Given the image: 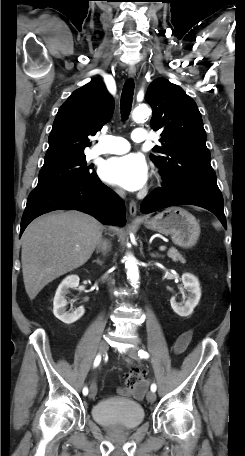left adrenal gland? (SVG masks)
Here are the masks:
<instances>
[{
	"mask_svg": "<svg viewBox=\"0 0 245 456\" xmlns=\"http://www.w3.org/2000/svg\"><path fill=\"white\" fill-rule=\"evenodd\" d=\"M151 250V248H149V251ZM150 256L151 257H163V255H159L158 253H150Z\"/></svg>",
	"mask_w": 245,
	"mask_h": 456,
	"instance_id": "1",
	"label": "left adrenal gland"
}]
</instances>
